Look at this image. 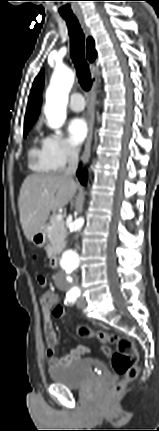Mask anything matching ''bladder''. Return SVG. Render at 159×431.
Listing matches in <instances>:
<instances>
[{"mask_svg": "<svg viewBox=\"0 0 159 431\" xmlns=\"http://www.w3.org/2000/svg\"><path fill=\"white\" fill-rule=\"evenodd\" d=\"M48 374L54 383L70 389H80L99 379L110 377L108 367L93 358H83L64 367L50 368Z\"/></svg>", "mask_w": 159, "mask_h": 431, "instance_id": "obj_1", "label": "bladder"}]
</instances>
